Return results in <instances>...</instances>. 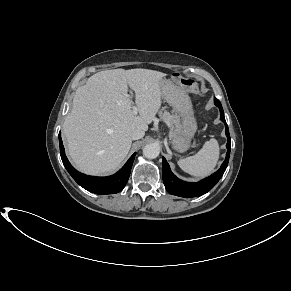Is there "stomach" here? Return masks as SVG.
Here are the masks:
<instances>
[{"instance_id": "obj_1", "label": "stomach", "mask_w": 291, "mask_h": 291, "mask_svg": "<svg viewBox=\"0 0 291 291\" xmlns=\"http://www.w3.org/2000/svg\"><path fill=\"white\" fill-rule=\"evenodd\" d=\"M179 80V79H177ZM163 98L171 105L181 121L176 134L171 137V144L177 152H185L190 145V140L197 130L192 103L187 92L179 85L169 80L161 82Z\"/></svg>"}]
</instances>
